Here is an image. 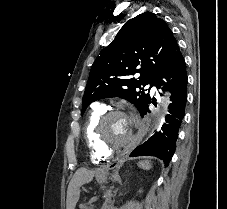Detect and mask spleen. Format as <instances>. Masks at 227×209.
<instances>
[{
  "instance_id": "obj_1",
  "label": "spleen",
  "mask_w": 227,
  "mask_h": 209,
  "mask_svg": "<svg viewBox=\"0 0 227 209\" xmlns=\"http://www.w3.org/2000/svg\"><path fill=\"white\" fill-rule=\"evenodd\" d=\"M138 167L144 169V171H150V169H152V163L151 161H139Z\"/></svg>"
}]
</instances>
